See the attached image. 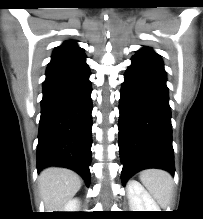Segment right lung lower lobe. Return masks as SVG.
I'll use <instances>...</instances> for the list:
<instances>
[{"mask_svg":"<svg viewBox=\"0 0 203 219\" xmlns=\"http://www.w3.org/2000/svg\"><path fill=\"white\" fill-rule=\"evenodd\" d=\"M86 59L50 63L43 82L37 170L72 169L90 183L92 88Z\"/></svg>","mask_w":203,"mask_h":219,"instance_id":"1","label":"right lung lower lobe"}]
</instances>
